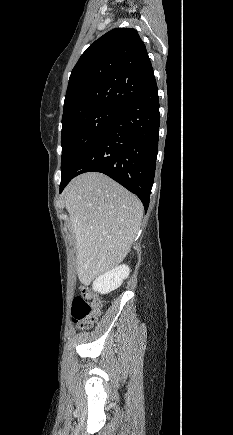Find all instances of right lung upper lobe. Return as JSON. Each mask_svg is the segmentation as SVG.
<instances>
[{
	"label": "right lung upper lobe",
	"instance_id": "right-lung-upper-lobe-1",
	"mask_svg": "<svg viewBox=\"0 0 233 435\" xmlns=\"http://www.w3.org/2000/svg\"><path fill=\"white\" fill-rule=\"evenodd\" d=\"M154 80L138 32L113 29L91 44L73 68L62 121L98 107L123 109Z\"/></svg>",
	"mask_w": 233,
	"mask_h": 435
}]
</instances>
